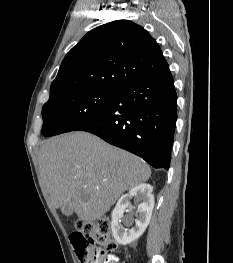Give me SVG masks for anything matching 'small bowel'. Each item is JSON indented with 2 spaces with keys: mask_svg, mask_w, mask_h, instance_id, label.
<instances>
[{
  "mask_svg": "<svg viewBox=\"0 0 233 263\" xmlns=\"http://www.w3.org/2000/svg\"><path fill=\"white\" fill-rule=\"evenodd\" d=\"M105 263H119V258L116 255L110 254L107 257V260Z\"/></svg>",
  "mask_w": 233,
  "mask_h": 263,
  "instance_id": "small-bowel-1",
  "label": "small bowel"
}]
</instances>
